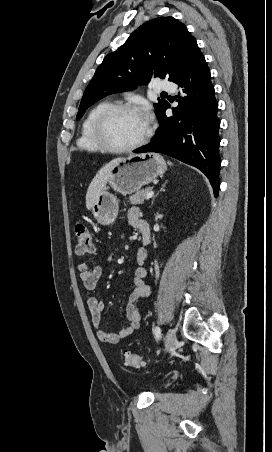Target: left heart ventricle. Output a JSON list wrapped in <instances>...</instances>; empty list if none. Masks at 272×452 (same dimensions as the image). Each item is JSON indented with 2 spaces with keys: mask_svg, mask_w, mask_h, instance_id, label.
Wrapping results in <instances>:
<instances>
[{
  "mask_svg": "<svg viewBox=\"0 0 272 452\" xmlns=\"http://www.w3.org/2000/svg\"><path fill=\"white\" fill-rule=\"evenodd\" d=\"M147 120L140 113L118 112L107 122L108 135L118 145H128L137 141L145 132Z\"/></svg>",
  "mask_w": 272,
  "mask_h": 452,
  "instance_id": "obj_1",
  "label": "left heart ventricle"
}]
</instances>
